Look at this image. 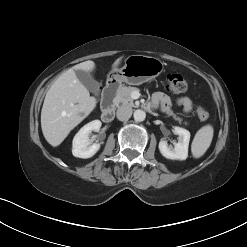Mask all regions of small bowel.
Masks as SVG:
<instances>
[{"instance_id": "c3829d8e", "label": "small bowel", "mask_w": 247, "mask_h": 247, "mask_svg": "<svg viewBox=\"0 0 247 247\" xmlns=\"http://www.w3.org/2000/svg\"><path fill=\"white\" fill-rule=\"evenodd\" d=\"M152 103L153 104H160L162 108L164 109H168L171 105V100L170 98L161 93V92H158V93H155L153 95V98H152ZM177 103L183 107V110L186 112V113H189L191 110H192V101L190 98L188 97H180L178 100H177Z\"/></svg>"}]
</instances>
